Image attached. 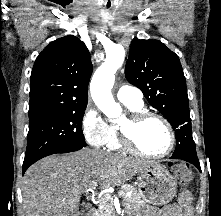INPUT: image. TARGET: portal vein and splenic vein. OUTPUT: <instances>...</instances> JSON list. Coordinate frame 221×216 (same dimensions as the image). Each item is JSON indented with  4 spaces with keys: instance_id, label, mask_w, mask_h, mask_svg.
Returning <instances> with one entry per match:
<instances>
[{
    "instance_id": "18ae733b",
    "label": "portal vein and splenic vein",
    "mask_w": 221,
    "mask_h": 216,
    "mask_svg": "<svg viewBox=\"0 0 221 216\" xmlns=\"http://www.w3.org/2000/svg\"><path fill=\"white\" fill-rule=\"evenodd\" d=\"M88 191H92V189L87 190V192H88ZM127 194H128V195H131V192H128ZM121 195H122V191L119 192V196H121Z\"/></svg>"
}]
</instances>
